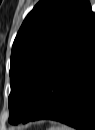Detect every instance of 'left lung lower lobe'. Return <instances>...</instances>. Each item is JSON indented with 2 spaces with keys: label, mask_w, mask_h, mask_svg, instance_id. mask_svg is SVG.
<instances>
[{
  "label": "left lung lower lobe",
  "mask_w": 95,
  "mask_h": 130,
  "mask_svg": "<svg viewBox=\"0 0 95 130\" xmlns=\"http://www.w3.org/2000/svg\"><path fill=\"white\" fill-rule=\"evenodd\" d=\"M60 121L95 128V19L84 26L66 55L51 69L31 108L18 122Z\"/></svg>",
  "instance_id": "1"
}]
</instances>
